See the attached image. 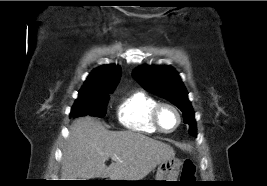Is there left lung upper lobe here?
Listing matches in <instances>:
<instances>
[{"label": "left lung upper lobe", "mask_w": 267, "mask_h": 186, "mask_svg": "<svg viewBox=\"0 0 267 186\" xmlns=\"http://www.w3.org/2000/svg\"><path fill=\"white\" fill-rule=\"evenodd\" d=\"M132 75L146 90L176 105L183 113L184 122L190 125V134L196 137V122L188 93L172 67L143 65L134 70Z\"/></svg>", "instance_id": "obj_1"}]
</instances>
